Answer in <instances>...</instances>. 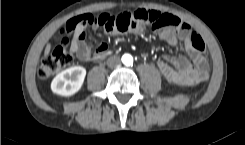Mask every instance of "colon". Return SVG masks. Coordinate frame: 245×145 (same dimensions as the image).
Segmentation results:
<instances>
[{
	"mask_svg": "<svg viewBox=\"0 0 245 145\" xmlns=\"http://www.w3.org/2000/svg\"><path fill=\"white\" fill-rule=\"evenodd\" d=\"M83 20L89 25L103 27L109 32H126L140 26H151L158 29L167 28L175 31L181 26V21L176 17L156 10L142 8L134 11H123L116 15L105 12L73 17L62 28L61 45L48 49L44 54L38 69L41 78H47L59 69L71 65L74 27ZM190 42L198 52H206L205 42L199 35L192 34Z\"/></svg>",
	"mask_w": 245,
	"mask_h": 145,
	"instance_id": "1",
	"label": "colon"
}]
</instances>
